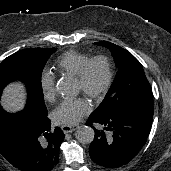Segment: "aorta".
<instances>
[{
  "instance_id": "762f6f07",
  "label": "aorta",
  "mask_w": 171,
  "mask_h": 171,
  "mask_svg": "<svg viewBox=\"0 0 171 171\" xmlns=\"http://www.w3.org/2000/svg\"><path fill=\"white\" fill-rule=\"evenodd\" d=\"M56 91L63 97H72L77 93L74 84L67 79H61L57 82ZM75 136L78 142L90 144L94 140L95 132L90 126H81L76 130Z\"/></svg>"
}]
</instances>
